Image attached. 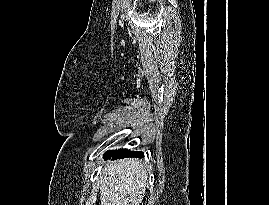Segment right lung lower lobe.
Segmentation results:
<instances>
[{"label": "right lung lower lobe", "mask_w": 269, "mask_h": 205, "mask_svg": "<svg viewBox=\"0 0 269 205\" xmlns=\"http://www.w3.org/2000/svg\"><path fill=\"white\" fill-rule=\"evenodd\" d=\"M127 157L142 158L143 153L141 151H129L127 149L108 151L104 154V159H121Z\"/></svg>", "instance_id": "obj_1"}]
</instances>
